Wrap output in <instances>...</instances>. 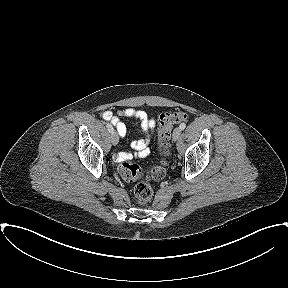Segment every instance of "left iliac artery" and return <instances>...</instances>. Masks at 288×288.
Wrapping results in <instances>:
<instances>
[{
	"mask_svg": "<svg viewBox=\"0 0 288 288\" xmlns=\"http://www.w3.org/2000/svg\"><path fill=\"white\" fill-rule=\"evenodd\" d=\"M185 127H186V124H185V123H181L180 126H179V128H180L181 130H184Z\"/></svg>",
	"mask_w": 288,
	"mask_h": 288,
	"instance_id": "left-iliac-artery-1",
	"label": "left iliac artery"
}]
</instances>
